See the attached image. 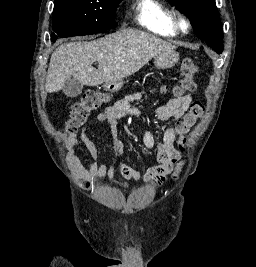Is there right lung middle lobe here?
Wrapping results in <instances>:
<instances>
[{
	"instance_id": "dd1d6c3e",
	"label": "right lung middle lobe",
	"mask_w": 256,
	"mask_h": 267,
	"mask_svg": "<svg viewBox=\"0 0 256 267\" xmlns=\"http://www.w3.org/2000/svg\"><path fill=\"white\" fill-rule=\"evenodd\" d=\"M122 0H55L51 41L58 37L90 35L114 28Z\"/></svg>"
}]
</instances>
